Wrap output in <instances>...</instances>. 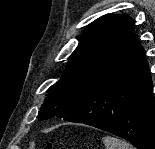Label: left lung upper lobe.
<instances>
[{
	"instance_id": "5c2ea615",
	"label": "left lung upper lobe",
	"mask_w": 155,
	"mask_h": 149,
	"mask_svg": "<svg viewBox=\"0 0 155 149\" xmlns=\"http://www.w3.org/2000/svg\"><path fill=\"white\" fill-rule=\"evenodd\" d=\"M133 29L134 20L123 14H106L90 23L68 58L61 79L48 89L38 119H64L68 116L88 89L113 64Z\"/></svg>"
}]
</instances>
